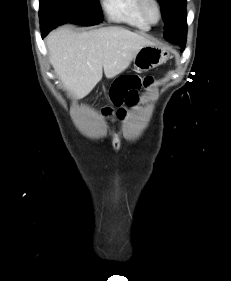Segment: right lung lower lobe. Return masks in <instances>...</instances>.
I'll return each instance as SVG.
<instances>
[{"mask_svg": "<svg viewBox=\"0 0 231 281\" xmlns=\"http://www.w3.org/2000/svg\"><path fill=\"white\" fill-rule=\"evenodd\" d=\"M53 28H55V27H52V26L43 27V26H41L42 37L44 38V37L47 35V33H48L50 30H52Z\"/></svg>", "mask_w": 231, "mask_h": 281, "instance_id": "obj_1", "label": "right lung lower lobe"}]
</instances>
